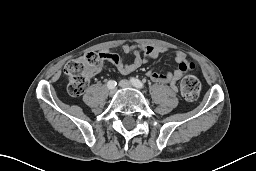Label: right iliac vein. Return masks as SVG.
Here are the masks:
<instances>
[{
    "label": "right iliac vein",
    "instance_id": "right-iliac-vein-1",
    "mask_svg": "<svg viewBox=\"0 0 256 171\" xmlns=\"http://www.w3.org/2000/svg\"><path fill=\"white\" fill-rule=\"evenodd\" d=\"M115 92H116V88L115 87L110 88V95L115 94Z\"/></svg>",
    "mask_w": 256,
    "mask_h": 171
}]
</instances>
